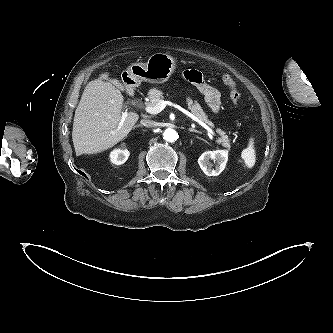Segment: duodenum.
I'll list each match as a JSON object with an SVG mask.
<instances>
[{
  "instance_id": "obj_1",
  "label": "duodenum",
  "mask_w": 333,
  "mask_h": 333,
  "mask_svg": "<svg viewBox=\"0 0 333 333\" xmlns=\"http://www.w3.org/2000/svg\"><path fill=\"white\" fill-rule=\"evenodd\" d=\"M126 84H127V89L129 92H133V85H132V81L130 79H126Z\"/></svg>"
}]
</instances>
